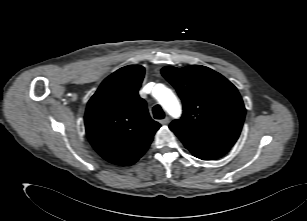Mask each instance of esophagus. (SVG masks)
Returning <instances> with one entry per match:
<instances>
[{"mask_svg": "<svg viewBox=\"0 0 307 221\" xmlns=\"http://www.w3.org/2000/svg\"><path fill=\"white\" fill-rule=\"evenodd\" d=\"M169 120H170L169 117H165L164 119L160 120V123L162 125H167L169 123Z\"/></svg>", "mask_w": 307, "mask_h": 221, "instance_id": "obj_1", "label": "esophagus"}]
</instances>
